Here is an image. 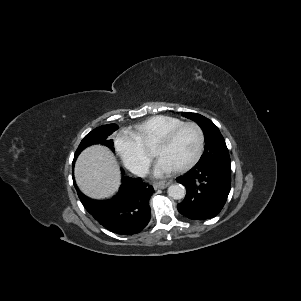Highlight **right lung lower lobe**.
<instances>
[{
  "instance_id": "98d812e1",
  "label": "right lung lower lobe",
  "mask_w": 301,
  "mask_h": 301,
  "mask_svg": "<svg viewBox=\"0 0 301 301\" xmlns=\"http://www.w3.org/2000/svg\"><path fill=\"white\" fill-rule=\"evenodd\" d=\"M76 187V185H75ZM85 209L107 230L118 235H133L150 221L149 199L154 190L141 178L123 176L118 193L108 200H93L76 187Z\"/></svg>"
}]
</instances>
